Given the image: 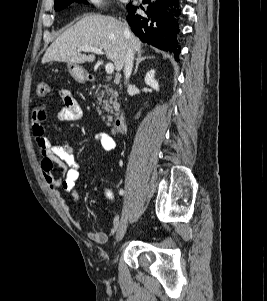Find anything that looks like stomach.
Wrapping results in <instances>:
<instances>
[{
  "instance_id": "obj_1",
  "label": "stomach",
  "mask_w": 267,
  "mask_h": 301,
  "mask_svg": "<svg viewBox=\"0 0 267 301\" xmlns=\"http://www.w3.org/2000/svg\"><path fill=\"white\" fill-rule=\"evenodd\" d=\"M70 75L79 83H84L88 79L87 72L77 64H68Z\"/></svg>"
}]
</instances>
